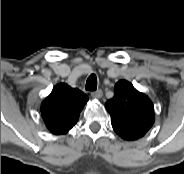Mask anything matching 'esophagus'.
Here are the masks:
<instances>
[{
    "label": "esophagus",
    "mask_w": 184,
    "mask_h": 174,
    "mask_svg": "<svg viewBox=\"0 0 184 174\" xmlns=\"http://www.w3.org/2000/svg\"><path fill=\"white\" fill-rule=\"evenodd\" d=\"M102 95H103V93H102V90H100V89L97 90V91L91 92V96H92L93 98H96V99L101 98Z\"/></svg>",
    "instance_id": "obj_1"
}]
</instances>
